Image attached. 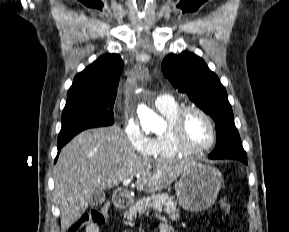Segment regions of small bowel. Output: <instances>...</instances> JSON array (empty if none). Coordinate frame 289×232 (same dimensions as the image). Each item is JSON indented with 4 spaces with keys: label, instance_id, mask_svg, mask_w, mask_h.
<instances>
[{
    "label": "small bowel",
    "instance_id": "c3829d8e",
    "mask_svg": "<svg viewBox=\"0 0 289 232\" xmlns=\"http://www.w3.org/2000/svg\"><path fill=\"white\" fill-rule=\"evenodd\" d=\"M100 226L95 225V224H90L88 226H86L85 232H100ZM158 232H175L174 229L167 225V224H160L158 226Z\"/></svg>",
    "mask_w": 289,
    "mask_h": 232
}]
</instances>
